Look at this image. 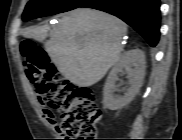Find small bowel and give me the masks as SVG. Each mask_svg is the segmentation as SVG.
<instances>
[{"label": "small bowel", "instance_id": "small-bowel-1", "mask_svg": "<svg viewBox=\"0 0 182 140\" xmlns=\"http://www.w3.org/2000/svg\"><path fill=\"white\" fill-rule=\"evenodd\" d=\"M42 113L44 119L59 132L57 120L53 111L50 108L43 107Z\"/></svg>", "mask_w": 182, "mask_h": 140}]
</instances>
